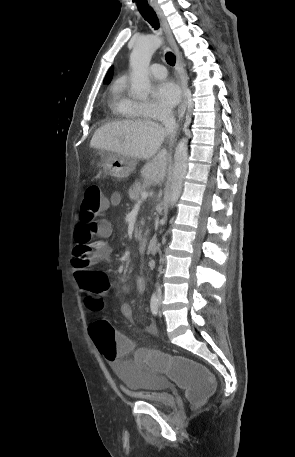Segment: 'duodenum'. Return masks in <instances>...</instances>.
I'll list each match as a JSON object with an SVG mask.
<instances>
[{
	"label": "duodenum",
	"instance_id": "obj_1",
	"mask_svg": "<svg viewBox=\"0 0 295 457\" xmlns=\"http://www.w3.org/2000/svg\"><path fill=\"white\" fill-rule=\"evenodd\" d=\"M148 246V240L146 238H141L139 240V250L140 252H145Z\"/></svg>",
	"mask_w": 295,
	"mask_h": 457
}]
</instances>
